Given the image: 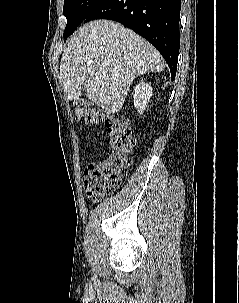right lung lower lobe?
Listing matches in <instances>:
<instances>
[{
	"label": "right lung lower lobe",
	"mask_w": 239,
	"mask_h": 303,
	"mask_svg": "<svg viewBox=\"0 0 239 303\" xmlns=\"http://www.w3.org/2000/svg\"><path fill=\"white\" fill-rule=\"evenodd\" d=\"M181 0H106L84 22L110 19L147 39L166 60L174 80L179 54Z\"/></svg>",
	"instance_id": "right-lung-lower-lobe-1"
}]
</instances>
